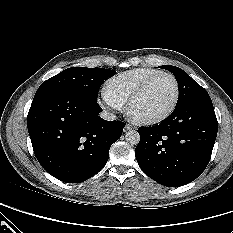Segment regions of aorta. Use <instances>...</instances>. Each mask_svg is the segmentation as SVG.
<instances>
[{"label":"aorta","mask_w":233,"mask_h":233,"mask_svg":"<svg viewBox=\"0 0 233 233\" xmlns=\"http://www.w3.org/2000/svg\"><path fill=\"white\" fill-rule=\"evenodd\" d=\"M125 139L131 145H137L139 143V141H140V135L135 130H128L125 133Z\"/></svg>","instance_id":"1"}]
</instances>
